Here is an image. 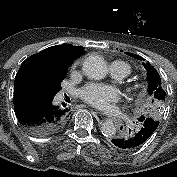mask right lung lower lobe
I'll use <instances>...</instances> for the list:
<instances>
[{"mask_svg": "<svg viewBox=\"0 0 177 177\" xmlns=\"http://www.w3.org/2000/svg\"><path fill=\"white\" fill-rule=\"evenodd\" d=\"M54 96L14 86V109L19 122L35 136H47L67 122L70 109L52 103Z\"/></svg>", "mask_w": 177, "mask_h": 177, "instance_id": "obj_1", "label": "right lung lower lobe"}]
</instances>
